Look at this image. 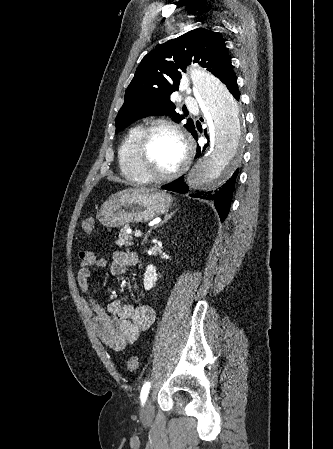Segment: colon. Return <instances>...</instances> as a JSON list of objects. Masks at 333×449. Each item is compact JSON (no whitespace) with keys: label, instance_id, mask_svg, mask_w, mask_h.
<instances>
[{"label":"colon","instance_id":"colon-1","mask_svg":"<svg viewBox=\"0 0 333 449\" xmlns=\"http://www.w3.org/2000/svg\"><path fill=\"white\" fill-rule=\"evenodd\" d=\"M95 221L93 218H88L83 222L82 228L84 233L90 234L94 229ZM139 361L136 356H131L127 360V367L130 371H135L138 368Z\"/></svg>","mask_w":333,"mask_h":449}]
</instances>
